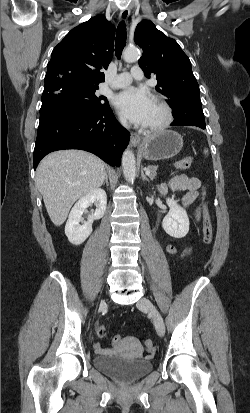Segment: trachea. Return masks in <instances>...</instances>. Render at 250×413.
I'll return each mask as SVG.
<instances>
[{"instance_id": "obj_1", "label": "trachea", "mask_w": 250, "mask_h": 413, "mask_svg": "<svg viewBox=\"0 0 250 413\" xmlns=\"http://www.w3.org/2000/svg\"><path fill=\"white\" fill-rule=\"evenodd\" d=\"M126 24L121 21L117 27L116 41H115V55L120 59L122 51L126 45Z\"/></svg>"}]
</instances>
